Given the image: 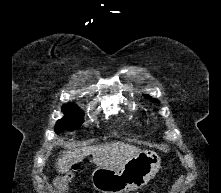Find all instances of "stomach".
<instances>
[{
  "mask_svg": "<svg viewBox=\"0 0 221 193\" xmlns=\"http://www.w3.org/2000/svg\"><path fill=\"white\" fill-rule=\"evenodd\" d=\"M161 158L141 151L119 168L97 167L91 176L93 187L102 193H128L149 182L159 171Z\"/></svg>",
  "mask_w": 221,
  "mask_h": 193,
  "instance_id": "obj_1",
  "label": "stomach"
}]
</instances>
